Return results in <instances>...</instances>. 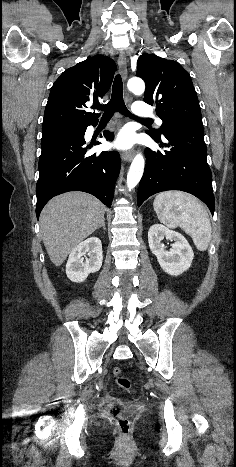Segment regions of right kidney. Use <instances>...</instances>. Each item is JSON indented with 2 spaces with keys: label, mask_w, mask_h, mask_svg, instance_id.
I'll list each match as a JSON object with an SVG mask.
<instances>
[{
  "label": "right kidney",
  "mask_w": 236,
  "mask_h": 467,
  "mask_svg": "<svg viewBox=\"0 0 236 467\" xmlns=\"http://www.w3.org/2000/svg\"><path fill=\"white\" fill-rule=\"evenodd\" d=\"M102 261L101 240L90 237L78 244L70 253L66 264L67 277L73 282H83L90 273L100 270Z\"/></svg>",
  "instance_id": "right-kidney-1"
}]
</instances>
